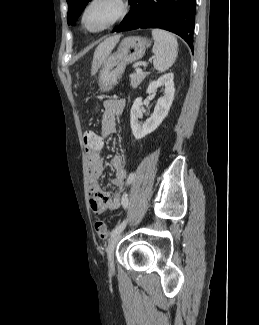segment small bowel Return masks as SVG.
Here are the masks:
<instances>
[{"label": "small bowel", "mask_w": 259, "mask_h": 325, "mask_svg": "<svg viewBox=\"0 0 259 325\" xmlns=\"http://www.w3.org/2000/svg\"><path fill=\"white\" fill-rule=\"evenodd\" d=\"M124 107L125 100L121 98H113L105 101L100 134H96L97 138L103 139V147L104 139L116 131L117 121ZM102 149H85L89 176V203L95 214H101L107 210H117L120 207L125 189V181L128 176L124 159L120 155H115L111 159V165L115 171V176L111 180V183L116 187V191L110 194L100 188L99 178L104 171L103 161L100 155Z\"/></svg>", "instance_id": "1"}]
</instances>
